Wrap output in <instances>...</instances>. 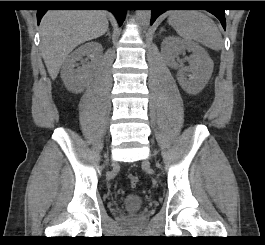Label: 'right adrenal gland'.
<instances>
[{"label":"right adrenal gland","mask_w":265,"mask_h":245,"mask_svg":"<svg viewBox=\"0 0 265 245\" xmlns=\"http://www.w3.org/2000/svg\"><path fill=\"white\" fill-rule=\"evenodd\" d=\"M107 35H108L109 37L111 36V35H110V31H109V29H108V31H107L106 36H107Z\"/></svg>","instance_id":"right-adrenal-gland-1"}]
</instances>
